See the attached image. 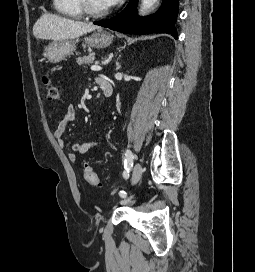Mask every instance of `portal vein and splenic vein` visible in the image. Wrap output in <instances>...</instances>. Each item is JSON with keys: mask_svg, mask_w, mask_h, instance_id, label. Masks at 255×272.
Segmentation results:
<instances>
[{"mask_svg": "<svg viewBox=\"0 0 255 272\" xmlns=\"http://www.w3.org/2000/svg\"><path fill=\"white\" fill-rule=\"evenodd\" d=\"M91 70L92 71H100V70H102V67L100 65L95 64V65L91 66Z\"/></svg>", "mask_w": 255, "mask_h": 272, "instance_id": "obj_1", "label": "portal vein and splenic vein"}]
</instances>
